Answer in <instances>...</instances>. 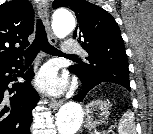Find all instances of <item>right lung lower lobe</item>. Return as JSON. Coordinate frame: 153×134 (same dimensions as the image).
<instances>
[{
    "instance_id": "obj_1",
    "label": "right lung lower lobe",
    "mask_w": 153,
    "mask_h": 134,
    "mask_svg": "<svg viewBox=\"0 0 153 134\" xmlns=\"http://www.w3.org/2000/svg\"><path fill=\"white\" fill-rule=\"evenodd\" d=\"M22 62L23 60H18L0 66V134H30L32 110L39 96L30 86L34 75L32 68L25 74L18 71L22 68ZM15 72L26 82L15 83L9 89L8 83L16 81Z\"/></svg>"
}]
</instances>
